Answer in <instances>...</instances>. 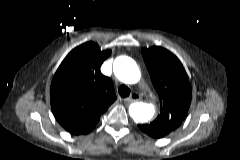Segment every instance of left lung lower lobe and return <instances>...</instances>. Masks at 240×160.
Listing matches in <instances>:
<instances>
[{
	"instance_id": "obj_1",
	"label": "left lung lower lobe",
	"mask_w": 240,
	"mask_h": 160,
	"mask_svg": "<svg viewBox=\"0 0 240 160\" xmlns=\"http://www.w3.org/2000/svg\"><path fill=\"white\" fill-rule=\"evenodd\" d=\"M139 127L144 133L156 139L163 138L167 135L149 124H143Z\"/></svg>"
}]
</instances>
